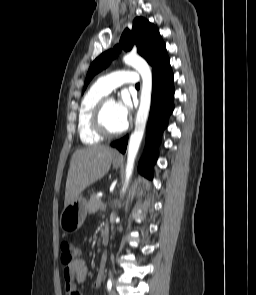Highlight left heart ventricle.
<instances>
[{"label": "left heart ventricle", "mask_w": 256, "mask_h": 295, "mask_svg": "<svg viewBox=\"0 0 256 295\" xmlns=\"http://www.w3.org/2000/svg\"><path fill=\"white\" fill-rule=\"evenodd\" d=\"M115 101L109 99L105 106L104 123L110 131H118L124 127V124L118 118L115 108Z\"/></svg>", "instance_id": "left-heart-ventricle-1"}]
</instances>
